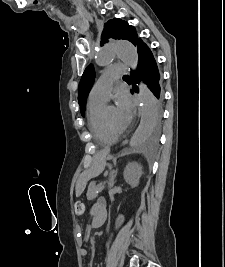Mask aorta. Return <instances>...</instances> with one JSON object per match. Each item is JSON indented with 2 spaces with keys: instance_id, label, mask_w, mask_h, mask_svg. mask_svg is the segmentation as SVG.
<instances>
[{
  "instance_id": "obj_1",
  "label": "aorta",
  "mask_w": 225,
  "mask_h": 267,
  "mask_svg": "<svg viewBox=\"0 0 225 267\" xmlns=\"http://www.w3.org/2000/svg\"><path fill=\"white\" fill-rule=\"evenodd\" d=\"M116 56L128 67L136 69L138 64L137 49L128 41H118L113 44L104 45L98 50L95 60L97 65L107 66ZM139 96L142 105L141 120L130 140V148H136L141 145L150 135L155 123L156 100L144 83L139 85Z\"/></svg>"
}]
</instances>
